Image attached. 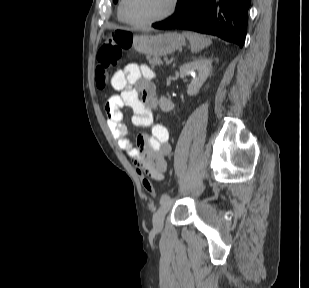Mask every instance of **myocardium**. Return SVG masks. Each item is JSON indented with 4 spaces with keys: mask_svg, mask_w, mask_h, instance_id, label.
<instances>
[{
    "mask_svg": "<svg viewBox=\"0 0 309 288\" xmlns=\"http://www.w3.org/2000/svg\"><path fill=\"white\" fill-rule=\"evenodd\" d=\"M125 3H126V0H120L119 13H120L121 19L126 24H128L132 27L144 28V27H148V26L158 24V23L170 18L176 12V10L178 8L179 0H170V6L165 13H163L162 15L155 17L153 19L141 21V22L132 21L126 16V14H125Z\"/></svg>",
    "mask_w": 309,
    "mask_h": 288,
    "instance_id": "1",
    "label": "myocardium"
}]
</instances>
